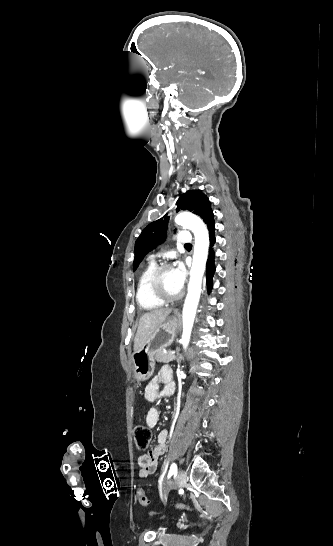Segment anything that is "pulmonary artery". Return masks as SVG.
Wrapping results in <instances>:
<instances>
[{"label": "pulmonary artery", "mask_w": 333, "mask_h": 546, "mask_svg": "<svg viewBox=\"0 0 333 546\" xmlns=\"http://www.w3.org/2000/svg\"><path fill=\"white\" fill-rule=\"evenodd\" d=\"M192 240L191 233L189 231H180L177 234V241L183 244H189Z\"/></svg>", "instance_id": "e3ab8cb5"}]
</instances>
